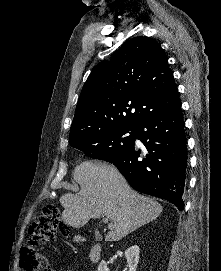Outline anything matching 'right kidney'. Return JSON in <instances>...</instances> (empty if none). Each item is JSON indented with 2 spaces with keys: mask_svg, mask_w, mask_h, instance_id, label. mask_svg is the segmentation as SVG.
Masks as SVG:
<instances>
[{
  "mask_svg": "<svg viewBox=\"0 0 221 271\" xmlns=\"http://www.w3.org/2000/svg\"><path fill=\"white\" fill-rule=\"evenodd\" d=\"M139 253V245H131V247L125 249V257L129 267L128 271H136L139 263ZM97 271H109L108 263H106L105 259H101L100 263H98Z\"/></svg>",
  "mask_w": 221,
  "mask_h": 271,
  "instance_id": "obj_1",
  "label": "right kidney"
}]
</instances>
